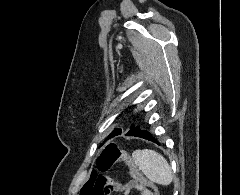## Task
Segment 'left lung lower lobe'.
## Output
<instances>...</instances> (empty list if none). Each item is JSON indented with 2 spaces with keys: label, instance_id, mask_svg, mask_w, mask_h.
Returning a JSON list of instances; mask_svg holds the SVG:
<instances>
[{
  "label": "left lung lower lobe",
  "instance_id": "obj_1",
  "mask_svg": "<svg viewBox=\"0 0 240 195\" xmlns=\"http://www.w3.org/2000/svg\"><path fill=\"white\" fill-rule=\"evenodd\" d=\"M127 134L130 136H137L158 143L157 140L153 138L148 131L142 130L138 126H134V124L131 125L130 130Z\"/></svg>",
  "mask_w": 240,
  "mask_h": 195
}]
</instances>
